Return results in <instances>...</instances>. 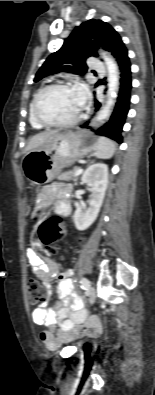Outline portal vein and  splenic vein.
Instances as JSON below:
<instances>
[{
	"instance_id": "portal-vein-and-splenic-vein-1",
	"label": "portal vein and splenic vein",
	"mask_w": 155,
	"mask_h": 395,
	"mask_svg": "<svg viewBox=\"0 0 155 395\" xmlns=\"http://www.w3.org/2000/svg\"><path fill=\"white\" fill-rule=\"evenodd\" d=\"M83 172V169H78L76 172H75V174H74V176H78L79 174H81Z\"/></svg>"
}]
</instances>
